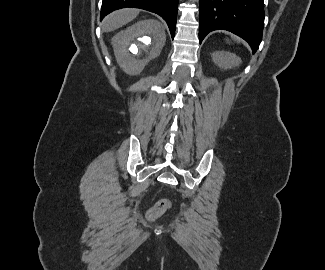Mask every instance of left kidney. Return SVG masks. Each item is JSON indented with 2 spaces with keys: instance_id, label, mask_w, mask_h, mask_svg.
Listing matches in <instances>:
<instances>
[{
  "instance_id": "1",
  "label": "left kidney",
  "mask_w": 325,
  "mask_h": 270,
  "mask_svg": "<svg viewBox=\"0 0 325 270\" xmlns=\"http://www.w3.org/2000/svg\"><path fill=\"white\" fill-rule=\"evenodd\" d=\"M211 56L213 62L222 69H230L238 66L241 63V59L239 57L226 51H215Z\"/></svg>"
}]
</instances>
